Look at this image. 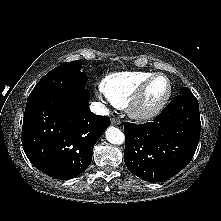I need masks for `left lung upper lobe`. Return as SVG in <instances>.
Segmentation results:
<instances>
[{
	"mask_svg": "<svg viewBox=\"0 0 221 221\" xmlns=\"http://www.w3.org/2000/svg\"><path fill=\"white\" fill-rule=\"evenodd\" d=\"M181 94H192V92H191L190 89H188L187 87H185V88H183V89L181 90Z\"/></svg>",
	"mask_w": 221,
	"mask_h": 221,
	"instance_id": "left-lung-upper-lobe-1",
	"label": "left lung upper lobe"
}]
</instances>
